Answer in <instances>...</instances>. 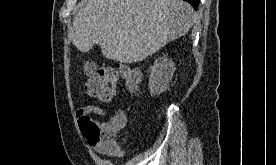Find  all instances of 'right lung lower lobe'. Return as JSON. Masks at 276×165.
<instances>
[{"instance_id": "obj_1", "label": "right lung lower lobe", "mask_w": 276, "mask_h": 165, "mask_svg": "<svg viewBox=\"0 0 276 165\" xmlns=\"http://www.w3.org/2000/svg\"><path fill=\"white\" fill-rule=\"evenodd\" d=\"M187 1L188 3H190L195 10H197L198 6H199V0H184Z\"/></svg>"}]
</instances>
